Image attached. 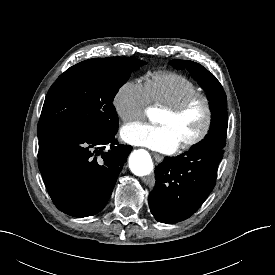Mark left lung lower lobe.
<instances>
[{"instance_id": "left-lung-lower-lobe-1", "label": "left lung lower lobe", "mask_w": 275, "mask_h": 275, "mask_svg": "<svg viewBox=\"0 0 275 275\" xmlns=\"http://www.w3.org/2000/svg\"><path fill=\"white\" fill-rule=\"evenodd\" d=\"M224 147H192L186 154L166 157L155 168L156 184L149 194L155 219L176 223L189 218L207 199L216 183Z\"/></svg>"}]
</instances>
